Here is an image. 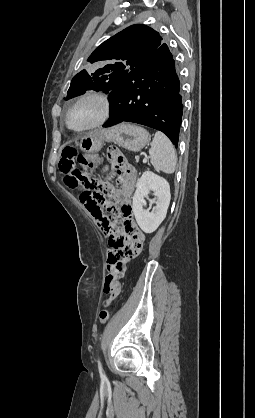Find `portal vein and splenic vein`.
I'll list each match as a JSON object with an SVG mask.
<instances>
[{
    "label": "portal vein and splenic vein",
    "mask_w": 255,
    "mask_h": 418,
    "mask_svg": "<svg viewBox=\"0 0 255 418\" xmlns=\"http://www.w3.org/2000/svg\"><path fill=\"white\" fill-rule=\"evenodd\" d=\"M143 161H144V162H146V161H147V159L145 158Z\"/></svg>",
    "instance_id": "1"
}]
</instances>
